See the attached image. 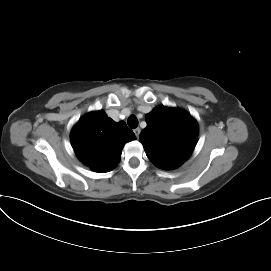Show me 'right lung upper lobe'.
Segmentation results:
<instances>
[{
	"label": "right lung upper lobe",
	"instance_id": "obj_1",
	"mask_svg": "<svg viewBox=\"0 0 271 271\" xmlns=\"http://www.w3.org/2000/svg\"><path fill=\"white\" fill-rule=\"evenodd\" d=\"M72 147L81 162L99 173L119 163L123 146L135 139L124 122H114L103 111L83 116L71 132Z\"/></svg>",
	"mask_w": 271,
	"mask_h": 271
}]
</instances>
